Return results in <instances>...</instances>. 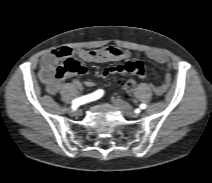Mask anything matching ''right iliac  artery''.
Instances as JSON below:
<instances>
[{
  "label": "right iliac artery",
  "instance_id": "obj_1",
  "mask_svg": "<svg viewBox=\"0 0 212 183\" xmlns=\"http://www.w3.org/2000/svg\"><path fill=\"white\" fill-rule=\"evenodd\" d=\"M103 93H104V91L100 89V90L93 92L92 94L85 95V96L74 99L72 101V109L75 110L80 105H83L88 102L99 99L103 95Z\"/></svg>",
  "mask_w": 212,
  "mask_h": 183
}]
</instances>
